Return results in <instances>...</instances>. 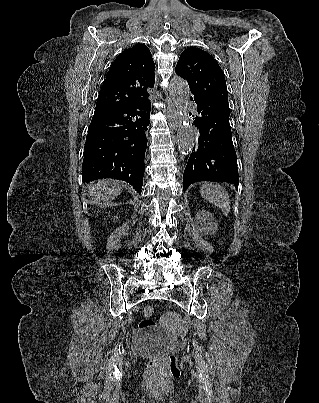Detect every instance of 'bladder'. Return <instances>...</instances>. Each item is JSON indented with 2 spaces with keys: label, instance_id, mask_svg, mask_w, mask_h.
<instances>
[{
  "label": "bladder",
  "instance_id": "bladder-1",
  "mask_svg": "<svg viewBox=\"0 0 319 403\" xmlns=\"http://www.w3.org/2000/svg\"><path fill=\"white\" fill-rule=\"evenodd\" d=\"M169 336L170 334L164 331L143 333L137 338L136 347L143 354H156L173 345L174 342Z\"/></svg>",
  "mask_w": 319,
  "mask_h": 403
}]
</instances>
